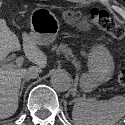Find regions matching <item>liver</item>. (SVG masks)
<instances>
[{
	"label": "liver",
	"instance_id": "obj_1",
	"mask_svg": "<svg viewBox=\"0 0 125 125\" xmlns=\"http://www.w3.org/2000/svg\"><path fill=\"white\" fill-rule=\"evenodd\" d=\"M23 50L27 58L37 66L24 68H3L10 52L18 51L20 43L4 19H0V119L12 116L18 109L21 79L28 71L41 72L47 64V56L40 51L30 34L22 33Z\"/></svg>",
	"mask_w": 125,
	"mask_h": 125
}]
</instances>
